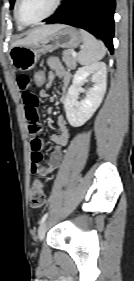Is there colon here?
Returning <instances> with one entry per match:
<instances>
[{
  "label": "colon",
  "instance_id": "1",
  "mask_svg": "<svg viewBox=\"0 0 134 281\" xmlns=\"http://www.w3.org/2000/svg\"><path fill=\"white\" fill-rule=\"evenodd\" d=\"M33 81L35 86L43 87L47 84V74L43 70H37L34 73ZM31 206L34 208H40L46 203V192L44 185L41 181L37 180L31 188Z\"/></svg>",
  "mask_w": 134,
  "mask_h": 281
}]
</instances>
